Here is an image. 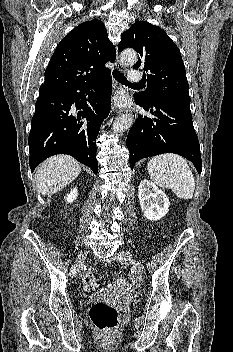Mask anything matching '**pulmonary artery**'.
Listing matches in <instances>:
<instances>
[{"mask_svg":"<svg viewBox=\"0 0 233 352\" xmlns=\"http://www.w3.org/2000/svg\"><path fill=\"white\" fill-rule=\"evenodd\" d=\"M141 78V73L137 69H132L128 73V79L131 82H139Z\"/></svg>","mask_w":233,"mask_h":352,"instance_id":"e3ab8cb5","label":"pulmonary artery"}]
</instances>
